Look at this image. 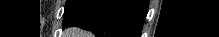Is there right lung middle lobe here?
Returning a JSON list of instances; mask_svg holds the SVG:
<instances>
[{
  "mask_svg": "<svg viewBox=\"0 0 219 37\" xmlns=\"http://www.w3.org/2000/svg\"><path fill=\"white\" fill-rule=\"evenodd\" d=\"M76 0H67L66 5H65V9L67 7H69L70 5H72Z\"/></svg>",
  "mask_w": 219,
  "mask_h": 37,
  "instance_id": "right-lung-middle-lobe-1",
  "label": "right lung middle lobe"
}]
</instances>
